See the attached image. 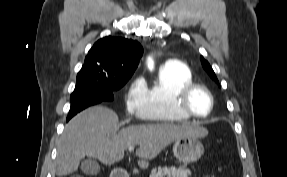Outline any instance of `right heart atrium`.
Instances as JSON below:
<instances>
[{
    "mask_svg": "<svg viewBox=\"0 0 287 177\" xmlns=\"http://www.w3.org/2000/svg\"><path fill=\"white\" fill-rule=\"evenodd\" d=\"M147 94V86L142 78H135L128 86L125 94V106L129 112L143 117V109Z\"/></svg>",
    "mask_w": 287,
    "mask_h": 177,
    "instance_id": "obj_1",
    "label": "right heart atrium"
}]
</instances>
